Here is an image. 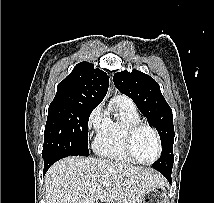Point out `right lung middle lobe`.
I'll use <instances>...</instances> for the list:
<instances>
[{
    "instance_id": "dd1d6c3e",
    "label": "right lung middle lobe",
    "mask_w": 214,
    "mask_h": 203,
    "mask_svg": "<svg viewBox=\"0 0 214 203\" xmlns=\"http://www.w3.org/2000/svg\"><path fill=\"white\" fill-rule=\"evenodd\" d=\"M95 107L81 103L50 104L44 131V160L89 156L88 120Z\"/></svg>"
}]
</instances>
